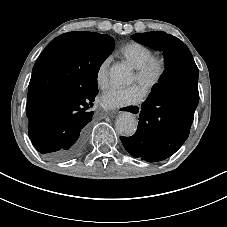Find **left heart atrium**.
Returning a JSON list of instances; mask_svg holds the SVG:
<instances>
[{
	"mask_svg": "<svg viewBox=\"0 0 227 227\" xmlns=\"http://www.w3.org/2000/svg\"><path fill=\"white\" fill-rule=\"evenodd\" d=\"M146 94V90L140 85L129 88L113 87L102 94L101 102L109 109L125 108L140 104Z\"/></svg>",
	"mask_w": 227,
	"mask_h": 227,
	"instance_id": "obj_1",
	"label": "left heart atrium"
}]
</instances>
